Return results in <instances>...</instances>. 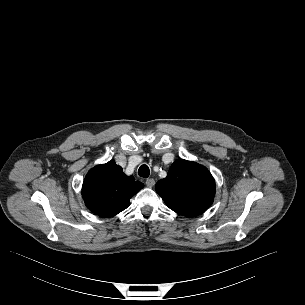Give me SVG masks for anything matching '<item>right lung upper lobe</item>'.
Wrapping results in <instances>:
<instances>
[{"mask_svg":"<svg viewBox=\"0 0 305 305\" xmlns=\"http://www.w3.org/2000/svg\"><path fill=\"white\" fill-rule=\"evenodd\" d=\"M143 183L126 176L114 161L92 168L86 175L82 196L87 208L100 217H112L130 204Z\"/></svg>","mask_w":305,"mask_h":305,"instance_id":"1","label":"right lung upper lobe"}]
</instances>
